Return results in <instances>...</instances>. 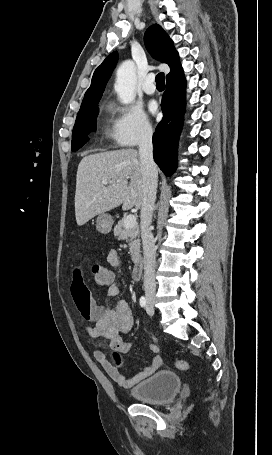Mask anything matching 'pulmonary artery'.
Here are the masks:
<instances>
[{
    "mask_svg": "<svg viewBox=\"0 0 272 455\" xmlns=\"http://www.w3.org/2000/svg\"><path fill=\"white\" fill-rule=\"evenodd\" d=\"M155 77L153 75H148L142 85V89L147 94H154L156 87L154 84Z\"/></svg>",
    "mask_w": 272,
    "mask_h": 455,
    "instance_id": "pulmonary-artery-1",
    "label": "pulmonary artery"
}]
</instances>
